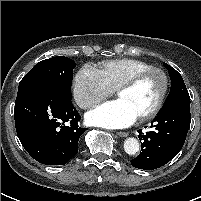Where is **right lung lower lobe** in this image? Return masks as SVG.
<instances>
[{"label": "right lung lower lobe", "mask_w": 201, "mask_h": 201, "mask_svg": "<svg viewBox=\"0 0 201 201\" xmlns=\"http://www.w3.org/2000/svg\"><path fill=\"white\" fill-rule=\"evenodd\" d=\"M18 138L36 161L64 165L78 153V141L85 129L71 99L46 83L18 88L14 110Z\"/></svg>", "instance_id": "obj_1"}]
</instances>
